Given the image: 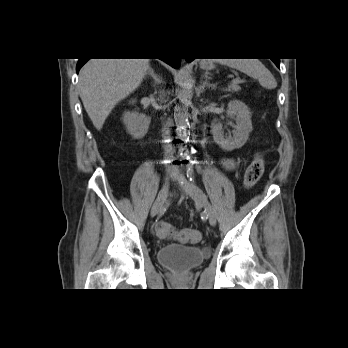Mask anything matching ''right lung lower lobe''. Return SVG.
<instances>
[{
	"mask_svg": "<svg viewBox=\"0 0 348 348\" xmlns=\"http://www.w3.org/2000/svg\"><path fill=\"white\" fill-rule=\"evenodd\" d=\"M89 59H79L77 66H76V71L77 73L81 69V67L88 61ZM171 65L174 68H179L181 59L180 58H173V59H161Z\"/></svg>",
	"mask_w": 348,
	"mask_h": 348,
	"instance_id": "98d812e1",
	"label": "right lung lower lobe"
}]
</instances>
